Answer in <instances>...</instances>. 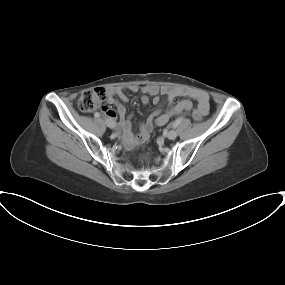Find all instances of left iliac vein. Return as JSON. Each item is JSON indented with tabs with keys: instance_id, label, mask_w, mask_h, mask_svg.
Wrapping results in <instances>:
<instances>
[{
	"instance_id": "left-iliac-vein-1",
	"label": "left iliac vein",
	"mask_w": 285,
	"mask_h": 285,
	"mask_svg": "<svg viewBox=\"0 0 285 285\" xmlns=\"http://www.w3.org/2000/svg\"><path fill=\"white\" fill-rule=\"evenodd\" d=\"M167 137L171 140L175 139L177 137V132L175 130H170L167 133Z\"/></svg>"
}]
</instances>
